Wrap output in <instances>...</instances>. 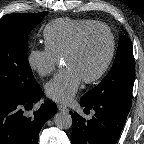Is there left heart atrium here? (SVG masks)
I'll use <instances>...</instances> for the list:
<instances>
[{"mask_svg":"<svg viewBox=\"0 0 144 144\" xmlns=\"http://www.w3.org/2000/svg\"><path fill=\"white\" fill-rule=\"evenodd\" d=\"M82 81V76L75 68L66 67L46 84L45 91L50 99L68 103L80 88Z\"/></svg>","mask_w":144,"mask_h":144,"instance_id":"1","label":"left heart atrium"}]
</instances>
